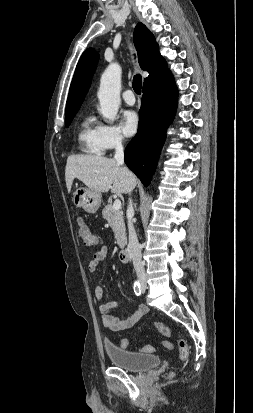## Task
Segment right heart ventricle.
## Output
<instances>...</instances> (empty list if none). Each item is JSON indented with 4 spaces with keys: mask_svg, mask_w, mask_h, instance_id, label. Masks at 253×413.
Wrapping results in <instances>:
<instances>
[{
    "mask_svg": "<svg viewBox=\"0 0 253 413\" xmlns=\"http://www.w3.org/2000/svg\"><path fill=\"white\" fill-rule=\"evenodd\" d=\"M79 149L90 155H101L103 149L99 140V124L91 116L80 124L77 135Z\"/></svg>",
    "mask_w": 253,
    "mask_h": 413,
    "instance_id": "e07e8e85",
    "label": "right heart ventricle"
}]
</instances>
